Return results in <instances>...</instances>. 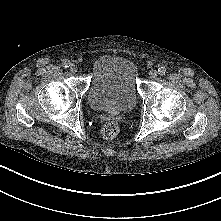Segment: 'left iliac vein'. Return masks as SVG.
<instances>
[{"instance_id": "4c4485c4", "label": "left iliac vein", "mask_w": 221, "mask_h": 221, "mask_svg": "<svg viewBox=\"0 0 221 221\" xmlns=\"http://www.w3.org/2000/svg\"><path fill=\"white\" fill-rule=\"evenodd\" d=\"M149 76L151 79H155L158 76V72L156 70H151Z\"/></svg>"}]
</instances>
